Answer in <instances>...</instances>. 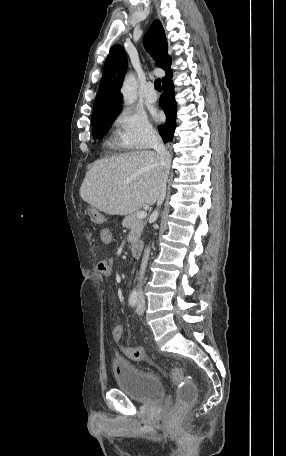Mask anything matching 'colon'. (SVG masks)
<instances>
[{
    "label": "colon",
    "mask_w": 286,
    "mask_h": 456,
    "mask_svg": "<svg viewBox=\"0 0 286 456\" xmlns=\"http://www.w3.org/2000/svg\"><path fill=\"white\" fill-rule=\"evenodd\" d=\"M124 354L133 360H145L146 355L144 349L140 346L125 347ZM173 382L178 386L177 403L172 409L171 414H181L188 408L196 398V386L189 381H184L181 370L174 367L171 371Z\"/></svg>",
    "instance_id": "5ec220e1"
}]
</instances>
